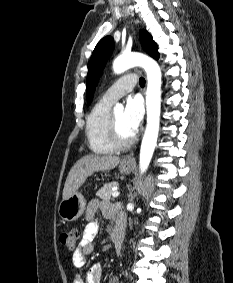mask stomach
Returning <instances> with one entry per match:
<instances>
[{
	"mask_svg": "<svg viewBox=\"0 0 233 283\" xmlns=\"http://www.w3.org/2000/svg\"><path fill=\"white\" fill-rule=\"evenodd\" d=\"M133 166L125 162H120L119 170L123 174H129ZM85 199L79 192L73 193L66 199H63L58 207L60 217L68 222L78 219L85 210Z\"/></svg>",
	"mask_w": 233,
	"mask_h": 283,
	"instance_id": "obj_1",
	"label": "stomach"
}]
</instances>
